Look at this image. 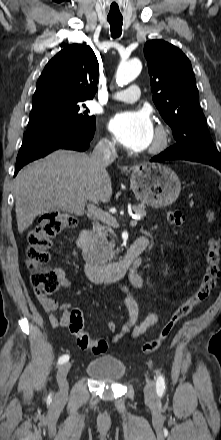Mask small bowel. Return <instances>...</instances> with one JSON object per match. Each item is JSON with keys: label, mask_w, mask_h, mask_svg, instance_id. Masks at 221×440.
<instances>
[{"label": "small bowel", "mask_w": 221, "mask_h": 440, "mask_svg": "<svg viewBox=\"0 0 221 440\" xmlns=\"http://www.w3.org/2000/svg\"><path fill=\"white\" fill-rule=\"evenodd\" d=\"M62 283L65 287V295H69L71 293V283L64 278L62 279ZM143 287V279L137 270H132L129 274L127 282L121 285L124 304L127 309V318L121 331L114 334L112 339L113 342H118L128 334L133 338H137L158 323L159 315L157 313H150L142 321H139V304L133 295L132 290H142ZM34 295L47 313L52 327H68L69 315L71 310L74 308L72 304L69 302H61L57 298L47 297L37 290L34 291ZM59 312H61L62 315L58 319L56 315Z\"/></svg>", "instance_id": "small-bowel-1"}]
</instances>
